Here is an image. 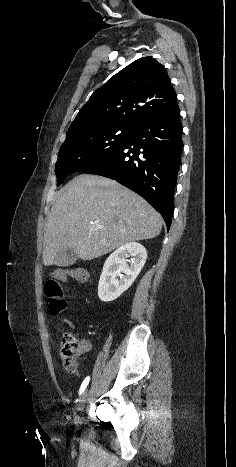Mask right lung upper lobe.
Wrapping results in <instances>:
<instances>
[{
	"mask_svg": "<svg viewBox=\"0 0 236 467\" xmlns=\"http://www.w3.org/2000/svg\"><path fill=\"white\" fill-rule=\"evenodd\" d=\"M177 104L167 71L143 57L115 74L80 109L67 135L123 125L136 128Z\"/></svg>",
	"mask_w": 236,
	"mask_h": 467,
	"instance_id": "cb5924a9",
	"label": "right lung upper lobe"
}]
</instances>
